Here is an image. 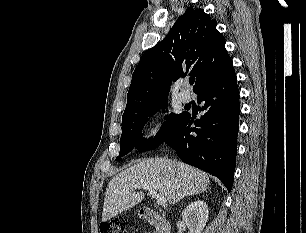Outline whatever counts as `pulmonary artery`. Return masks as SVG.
Segmentation results:
<instances>
[{
	"label": "pulmonary artery",
	"mask_w": 306,
	"mask_h": 233,
	"mask_svg": "<svg viewBox=\"0 0 306 233\" xmlns=\"http://www.w3.org/2000/svg\"><path fill=\"white\" fill-rule=\"evenodd\" d=\"M187 83L184 84V89L179 93V99L182 103L187 104L191 101L192 96L186 89Z\"/></svg>",
	"instance_id": "1"
}]
</instances>
